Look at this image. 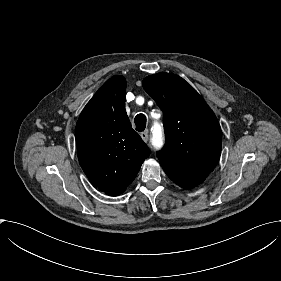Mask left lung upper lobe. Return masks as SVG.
Listing matches in <instances>:
<instances>
[{"label":"left lung upper lobe","instance_id":"obj_1","mask_svg":"<svg viewBox=\"0 0 281 281\" xmlns=\"http://www.w3.org/2000/svg\"><path fill=\"white\" fill-rule=\"evenodd\" d=\"M143 87L163 111L166 144L157 152L160 164L209 174L221 154V128L213 111L175 74L150 75Z\"/></svg>","mask_w":281,"mask_h":281}]
</instances>
